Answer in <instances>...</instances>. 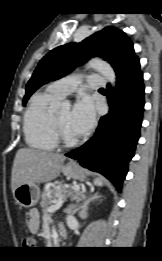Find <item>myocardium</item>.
<instances>
[{"label":"myocardium","instance_id":"1","mask_svg":"<svg viewBox=\"0 0 162 261\" xmlns=\"http://www.w3.org/2000/svg\"><path fill=\"white\" fill-rule=\"evenodd\" d=\"M51 125L54 137L58 144H61L64 147H72L78 143V139L70 138L65 134L64 130L62 129L61 125L57 120L56 112L54 111L51 115Z\"/></svg>","mask_w":162,"mask_h":261}]
</instances>
